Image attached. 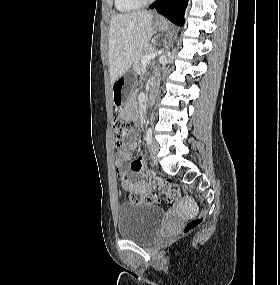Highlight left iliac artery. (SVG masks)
Instances as JSON below:
<instances>
[{
	"mask_svg": "<svg viewBox=\"0 0 280 285\" xmlns=\"http://www.w3.org/2000/svg\"><path fill=\"white\" fill-rule=\"evenodd\" d=\"M146 141L147 144L150 145L152 141V129L148 128L147 133H146Z\"/></svg>",
	"mask_w": 280,
	"mask_h": 285,
	"instance_id": "1",
	"label": "left iliac artery"
}]
</instances>
